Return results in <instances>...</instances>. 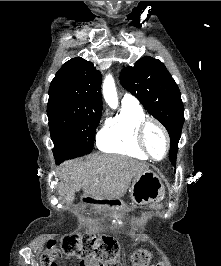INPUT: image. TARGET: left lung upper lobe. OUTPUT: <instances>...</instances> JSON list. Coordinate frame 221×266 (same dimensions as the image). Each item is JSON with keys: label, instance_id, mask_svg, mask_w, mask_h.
Returning a JSON list of instances; mask_svg holds the SVG:
<instances>
[{"label": "left lung upper lobe", "instance_id": "1", "mask_svg": "<svg viewBox=\"0 0 221 266\" xmlns=\"http://www.w3.org/2000/svg\"><path fill=\"white\" fill-rule=\"evenodd\" d=\"M120 83L165 126L170 136V161L175 165L184 110L179 88L165 65L158 59L145 56L133 67L123 69Z\"/></svg>", "mask_w": 221, "mask_h": 266}]
</instances>
